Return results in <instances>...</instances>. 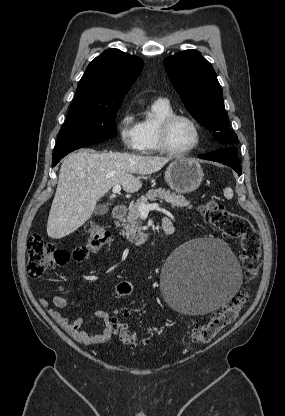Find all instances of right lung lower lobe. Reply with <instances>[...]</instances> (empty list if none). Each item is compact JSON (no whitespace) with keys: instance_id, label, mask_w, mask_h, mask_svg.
Segmentation results:
<instances>
[{"instance_id":"right-lung-lower-lobe-1","label":"right lung lower lobe","mask_w":285,"mask_h":416,"mask_svg":"<svg viewBox=\"0 0 285 416\" xmlns=\"http://www.w3.org/2000/svg\"><path fill=\"white\" fill-rule=\"evenodd\" d=\"M102 141H104V139L102 140H72V141L58 142L55 145L54 151H53L52 167L55 166L68 153L76 149H79L88 145L96 144Z\"/></svg>"}]
</instances>
